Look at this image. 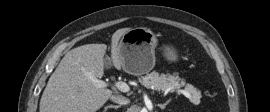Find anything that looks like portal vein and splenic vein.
<instances>
[{"label": "portal vein and splenic vein", "instance_id": "portal-vein-and-splenic-vein-1", "mask_svg": "<svg viewBox=\"0 0 270 112\" xmlns=\"http://www.w3.org/2000/svg\"><path fill=\"white\" fill-rule=\"evenodd\" d=\"M93 83L95 84V86L99 87V88H104L107 86L106 82L102 81V80H99V79H96V78H93L92 79ZM115 87L120 90L121 92H128L130 90V87L127 83L125 82H122V81H117L115 82ZM176 92L178 94H183L184 96H186L187 98L190 97V94L186 91V90H183V89H178L176 90Z\"/></svg>", "mask_w": 270, "mask_h": 112}]
</instances>
